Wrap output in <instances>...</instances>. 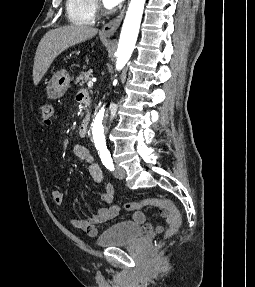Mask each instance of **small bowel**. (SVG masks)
<instances>
[{"mask_svg": "<svg viewBox=\"0 0 255 287\" xmlns=\"http://www.w3.org/2000/svg\"><path fill=\"white\" fill-rule=\"evenodd\" d=\"M70 151L76 158L87 164L90 177L95 183L100 184L103 181V172L100 166L94 161L88 148L77 143L70 146ZM51 152L54 154V149H52ZM52 199L56 205H62L64 199L63 193L59 190H53ZM101 200L108 206L98 209L97 212L88 219H72V225L85 231L90 236H96L99 233L98 225L112 220L120 211V207L113 203L114 188L111 184H106L104 186L101 192ZM160 215L164 218L167 224H170V216L167 210L161 209ZM132 219L133 222L141 225L147 232L161 233L164 230L162 225L153 226L151 224H147L145 214L142 211L134 212Z\"/></svg>", "mask_w": 255, "mask_h": 287, "instance_id": "obj_1", "label": "small bowel"}]
</instances>
